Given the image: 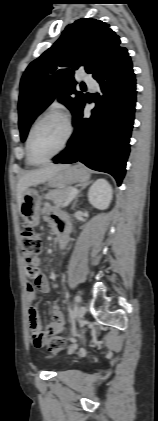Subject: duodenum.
<instances>
[{
  "label": "duodenum",
  "mask_w": 158,
  "mask_h": 421,
  "mask_svg": "<svg viewBox=\"0 0 158 421\" xmlns=\"http://www.w3.org/2000/svg\"><path fill=\"white\" fill-rule=\"evenodd\" d=\"M66 242H67V239L66 238H63L62 241H61V246L64 247V245L66 244Z\"/></svg>",
  "instance_id": "1"
}]
</instances>
